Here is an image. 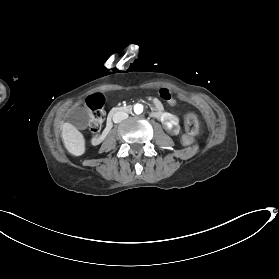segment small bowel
<instances>
[{"label":"small bowel","instance_id":"c3829d8e","mask_svg":"<svg viewBox=\"0 0 279 279\" xmlns=\"http://www.w3.org/2000/svg\"><path fill=\"white\" fill-rule=\"evenodd\" d=\"M159 94H160L161 99H163L167 103H169V104L175 103V99L173 98L171 92L168 89H166V88L161 89ZM153 104H154L153 115L155 117H162L164 114L162 102L159 99L155 98V99H153Z\"/></svg>","mask_w":279,"mask_h":279}]
</instances>
